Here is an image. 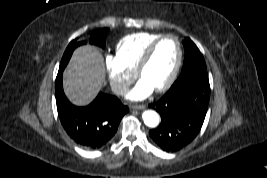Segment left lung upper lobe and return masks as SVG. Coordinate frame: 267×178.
Segmentation results:
<instances>
[{"mask_svg":"<svg viewBox=\"0 0 267 178\" xmlns=\"http://www.w3.org/2000/svg\"><path fill=\"white\" fill-rule=\"evenodd\" d=\"M183 45L185 49V59L182 72L176 81L185 78L208 79L205 60L197 46L189 38L184 39Z\"/></svg>","mask_w":267,"mask_h":178,"instance_id":"5c2ea615","label":"left lung upper lobe"}]
</instances>
